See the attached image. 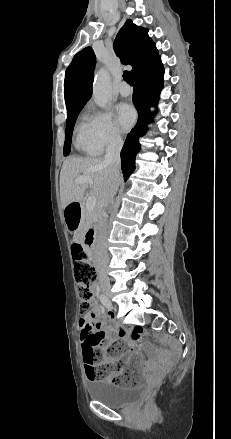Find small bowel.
<instances>
[{"instance_id": "small-bowel-1", "label": "small bowel", "mask_w": 231, "mask_h": 439, "mask_svg": "<svg viewBox=\"0 0 231 439\" xmlns=\"http://www.w3.org/2000/svg\"><path fill=\"white\" fill-rule=\"evenodd\" d=\"M103 311L97 303H93L91 311L84 317L78 320L77 326L80 329V342L82 351L86 347L98 348L103 344L112 342L116 338L127 339L132 347L139 348L141 343V336L139 332L131 333L128 329H121L114 325L106 326L102 320ZM124 363L128 367H132L135 373L146 374V369H141V363L135 360L131 354L122 357ZM120 358L112 360L103 359V362H111L117 364Z\"/></svg>"}]
</instances>
